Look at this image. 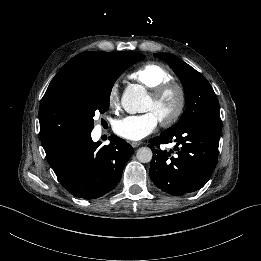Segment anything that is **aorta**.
<instances>
[{
  "mask_svg": "<svg viewBox=\"0 0 261 261\" xmlns=\"http://www.w3.org/2000/svg\"><path fill=\"white\" fill-rule=\"evenodd\" d=\"M124 96L128 99L129 106L126 109L130 113H143L148 110L151 104V98L145 94V88L138 86L132 87L130 91L126 90ZM153 153L149 147H141L137 150L136 158L141 163H148L152 160Z\"/></svg>",
  "mask_w": 261,
  "mask_h": 261,
  "instance_id": "1",
  "label": "aorta"
}]
</instances>
